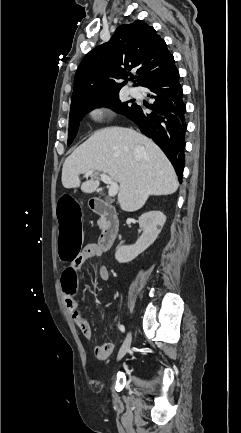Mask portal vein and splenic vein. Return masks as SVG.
Instances as JSON below:
<instances>
[{
  "label": "portal vein and splenic vein",
  "instance_id": "obj_1",
  "mask_svg": "<svg viewBox=\"0 0 241 433\" xmlns=\"http://www.w3.org/2000/svg\"><path fill=\"white\" fill-rule=\"evenodd\" d=\"M93 173L94 170H88L86 172V175H92ZM100 177L105 184L109 185V191H108L109 196L111 197L115 196L119 190V185L117 184V182L112 181L111 178L106 174H101Z\"/></svg>",
  "mask_w": 241,
  "mask_h": 433
}]
</instances>
